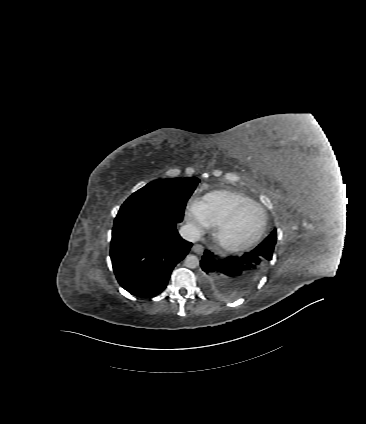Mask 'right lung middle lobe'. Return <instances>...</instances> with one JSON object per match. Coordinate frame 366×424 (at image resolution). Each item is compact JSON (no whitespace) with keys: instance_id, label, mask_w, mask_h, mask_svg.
I'll return each mask as SVG.
<instances>
[{"instance_id":"dd1d6c3e","label":"right lung middle lobe","mask_w":366,"mask_h":424,"mask_svg":"<svg viewBox=\"0 0 366 424\" xmlns=\"http://www.w3.org/2000/svg\"><path fill=\"white\" fill-rule=\"evenodd\" d=\"M199 182L196 177L152 181L123 203L116 218L156 213L175 223L181 222L186 203Z\"/></svg>"}]
</instances>
